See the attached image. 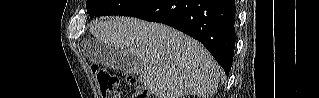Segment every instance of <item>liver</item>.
I'll return each mask as SVG.
<instances>
[{
	"mask_svg": "<svg viewBox=\"0 0 319 98\" xmlns=\"http://www.w3.org/2000/svg\"><path fill=\"white\" fill-rule=\"evenodd\" d=\"M89 31L99 43L134 54L140 62L138 80L157 98H210L218 87L220 67L212 55L174 28L116 16Z\"/></svg>",
	"mask_w": 319,
	"mask_h": 98,
	"instance_id": "6515ba94",
	"label": "liver"
}]
</instances>
